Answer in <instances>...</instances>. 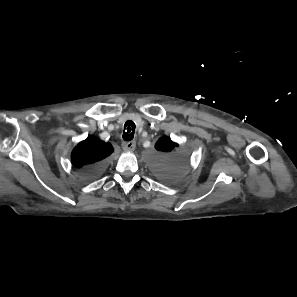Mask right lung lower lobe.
<instances>
[{
  "mask_svg": "<svg viewBox=\"0 0 297 297\" xmlns=\"http://www.w3.org/2000/svg\"><path fill=\"white\" fill-rule=\"evenodd\" d=\"M104 167H105V162H102V163H98L94 166L86 168L84 170L86 178L93 179V178L99 176L103 172Z\"/></svg>",
  "mask_w": 297,
  "mask_h": 297,
  "instance_id": "right-lung-lower-lobe-1",
  "label": "right lung lower lobe"
}]
</instances>
